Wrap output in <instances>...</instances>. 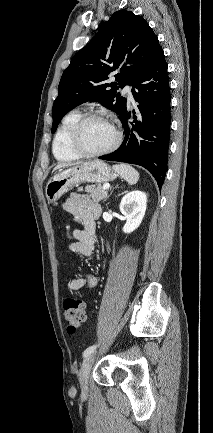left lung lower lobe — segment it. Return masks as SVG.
Segmentation results:
<instances>
[{
  "mask_svg": "<svg viewBox=\"0 0 213 433\" xmlns=\"http://www.w3.org/2000/svg\"><path fill=\"white\" fill-rule=\"evenodd\" d=\"M164 51L156 50L149 64L134 80L136 111L124 110L120 121L125 131L121 146L99 159L137 164L146 168L159 188L167 172L170 141V87ZM134 120L128 123L127 119Z\"/></svg>",
  "mask_w": 213,
  "mask_h": 433,
  "instance_id": "obj_1",
  "label": "left lung lower lobe"
}]
</instances>
